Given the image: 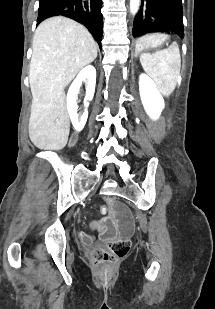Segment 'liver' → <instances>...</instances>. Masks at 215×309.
<instances>
[{"instance_id": "obj_1", "label": "liver", "mask_w": 215, "mask_h": 309, "mask_svg": "<svg viewBox=\"0 0 215 309\" xmlns=\"http://www.w3.org/2000/svg\"><path fill=\"white\" fill-rule=\"evenodd\" d=\"M97 50L89 30L72 18L51 16L37 26L29 68L28 132L38 148L60 150L67 144L70 118L64 88L96 58Z\"/></svg>"}]
</instances>
